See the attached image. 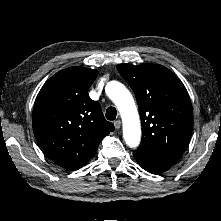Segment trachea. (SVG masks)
Wrapping results in <instances>:
<instances>
[{
	"mask_svg": "<svg viewBox=\"0 0 221 221\" xmlns=\"http://www.w3.org/2000/svg\"><path fill=\"white\" fill-rule=\"evenodd\" d=\"M117 111L115 107H108L106 110V118L110 121L115 120Z\"/></svg>",
	"mask_w": 221,
	"mask_h": 221,
	"instance_id": "obj_1",
	"label": "trachea"
}]
</instances>
